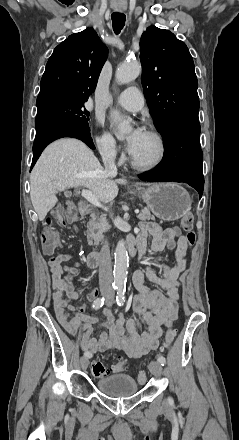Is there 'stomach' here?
Masks as SVG:
<instances>
[{
	"mask_svg": "<svg viewBox=\"0 0 239 440\" xmlns=\"http://www.w3.org/2000/svg\"><path fill=\"white\" fill-rule=\"evenodd\" d=\"M139 190L147 208L160 220H179L191 210L192 200L179 184H153L150 188Z\"/></svg>",
	"mask_w": 239,
	"mask_h": 440,
	"instance_id": "1",
	"label": "stomach"
}]
</instances>
